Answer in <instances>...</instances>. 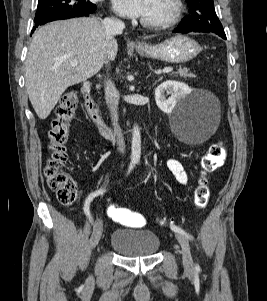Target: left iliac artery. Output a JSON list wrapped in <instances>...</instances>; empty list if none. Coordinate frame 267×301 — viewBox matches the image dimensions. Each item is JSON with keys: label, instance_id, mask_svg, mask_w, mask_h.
<instances>
[{"label": "left iliac artery", "instance_id": "44dca946", "mask_svg": "<svg viewBox=\"0 0 267 301\" xmlns=\"http://www.w3.org/2000/svg\"><path fill=\"white\" fill-rule=\"evenodd\" d=\"M171 229L175 232H180V233L184 234L187 237V239L192 240V236L189 233L185 232L182 228H180L176 225H172ZM196 268H199L198 264L196 265Z\"/></svg>", "mask_w": 267, "mask_h": 301}]
</instances>
